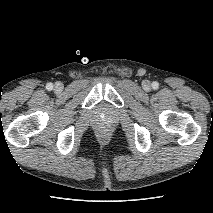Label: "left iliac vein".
Instances as JSON below:
<instances>
[{
  "mask_svg": "<svg viewBox=\"0 0 213 213\" xmlns=\"http://www.w3.org/2000/svg\"><path fill=\"white\" fill-rule=\"evenodd\" d=\"M143 87L145 90H149L150 89V82L149 81H144L143 82Z\"/></svg>",
  "mask_w": 213,
  "mask_h": 213,
  "instance_id": "1",
  "label": "left iliac vein"
}]
</instances>
